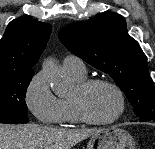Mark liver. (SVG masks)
Segmentation results:
<instances>
[{
  "mask_svg": "<svg viewBox=\"0 0 155 149\" xmlns=\"http://www.w3.org/2000/svg\"><path fill=\"white\" fill-rule=\"evenodd\" d=\"M103 129H62L40 126L0 124V149H71Z\"/></svg>",
  "mask_w": 155,
  "mask_h": 149,
  "instance_id": "obj_1",
  "label": "liver"
}]
</instances>
